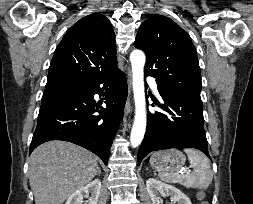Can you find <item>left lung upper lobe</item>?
Wrapping results in <instances>:
<instances>
[{"instance_id": "1", "label": "left lung upper lobe", "mask_w": 253, "mask_h": 204, "mask_svg": "<svg viewBox=\"0 0 253 204\" xmlns=\"http://www.w3.org/2000/svg\"><path fill=\"white\" fill-rule=\"evenodd\" d=\"M134 46L147 56L145 75L156 78L158 91L200 96L201 72L189 35L163 15L147 19L139 28Z\"/></svg>"}]
</instances>
